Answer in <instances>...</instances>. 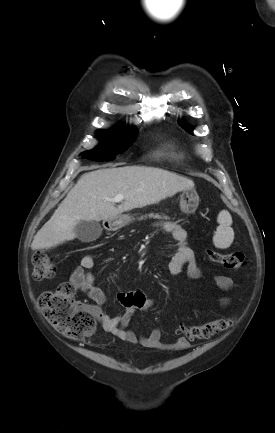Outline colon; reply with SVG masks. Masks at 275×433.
<instances>
[{"instance_id": "5ec220e1", "label": "colon", "mask_w": 275, "mask_h": 433, "mask_svg": "<svg viewBox=\"0 0 275 433\" xmlns=\"http://www.w3.org/2000/svg\"><path fill=\"white\" fill-rule=\"evenodd\" d=\"M207 255L212 262L231 270H238L246 263L240 252L208 250ZM32 264L35 279H49L57 273L54 260L45 253H35ZM39 306L48 322L67 337L83 340L90 337L95 329L94 317L82 303L75 300L74 287L68 283L59 285L54 291L44 292L39 298ZM231 325L232 320L224 317L200 325L180 324L178 331L188 340H208Z\"/></svg>"}]
</instances>
